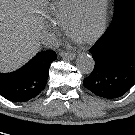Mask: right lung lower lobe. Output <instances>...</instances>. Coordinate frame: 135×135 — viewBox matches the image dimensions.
Segmentation results:
<instances>
[{
  "instance_id": "right-lung-lower-lobe-1",
  "label": "right lung lower lobe",
  "mask_w": 135,
  "mask_h": 135,
  "mask_svg": "<svg viewBox=\"0 0 135 135\" xmlns=\"http://www.w3.org/2000/svg\"><path fill=\"white\" fill-rule=\"evenodd\" d=\"M55 59L56 52L46 50L17 71L0 73V95L18 103L36 97L44 90L50 63Z\"/></svg>"
}]
</instances>
